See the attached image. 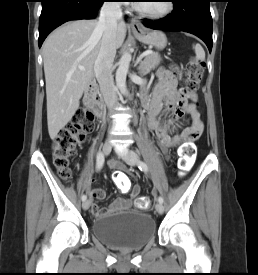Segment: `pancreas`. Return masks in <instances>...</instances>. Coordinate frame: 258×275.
<instances>
[{
  "label": "pancreas",
  "instance_id": "obj_1",
  "mask_svg": "<svg viewBox=\"0 0 258 275\" xmlns=\"http://www.w3.org/2000/svg\"><path fill=\"white\" fill-rule=\"evenodd\" d=\"M160 61L161 58L158 53H152L145 56L144 60L140 63L139 73L143 75L149 73L152 69L160 64Z\"/></svg>",
  "mask_w": 258,
  "mask_h": 275
}]
</instances>
